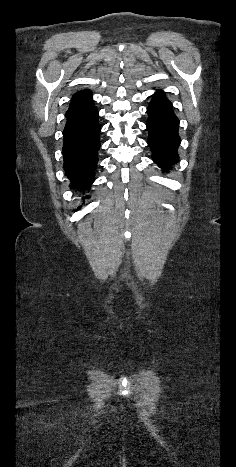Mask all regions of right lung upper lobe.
Segmentation results:
<instances>
[{
  "mask_svg": "<svg viewBox=\"0 0 236 467\" xmlns=\"http://www.w3.org/2000/svg\"><path fill=\"white\" fill-rule=\"evenodd\" d=\"M91 99H92V93L88 89L82 90V91H79V92L75 93L73 95V97H72V100H71L68 111L73 110V109L85 104L86 102H88Z\"/></svg>",
  "mask_w": 236,
  "mask_h": 467,
  "instance_id": "right-lung-upper-lobe-1",
  "label": "right lung upper lobe"
}]
</instances>
